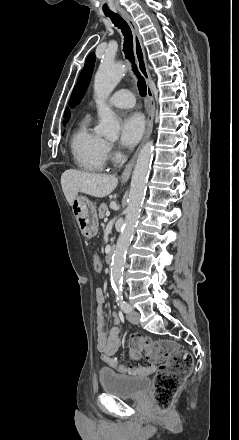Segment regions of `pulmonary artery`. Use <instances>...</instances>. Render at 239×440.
<instances>
[{
  "instance_id": "e3ab8cb5",
  "label": "pulmonary artery",
  "mask_w": 239,
  "mask_h": 440,
  "mask_svg": "<svg viewBox=\"0 0 239 440\" xmlns=\"http://www.w3.org/2000/svg\"><path fill=\"white\" fill-rule=\"evenodd\" d=\"M109 104L113 107L130 108L135 104V98L129 90H119L109 98Z\"/></svg>"
}]
</instances>
